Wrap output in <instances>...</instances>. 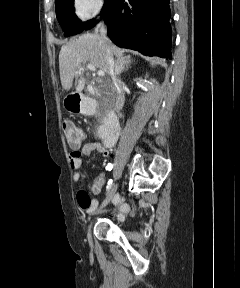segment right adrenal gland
I'll return each mask as SVG.
<instances>
[{"label":"right adrenal gland","mask_w":240,"mask_h":288,"mask_svg":"<svg viewBox=\"0 0 240 288\" xmlns=\"http://www.w3.org/2000/svg\"><path fill=\"white\" fill-rule=\"evenodd\" d=\"M131 62L130 61H116L115 63V69H116V72L118 74L124 72V71H127L129 66H130Z\"/></svg>","instance_id":"1"}]
</instances>
